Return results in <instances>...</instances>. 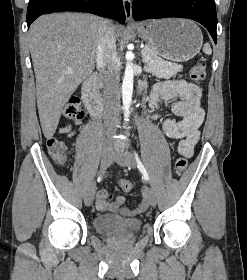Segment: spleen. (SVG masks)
<instances>
[{
    "mask_svg": "<svg viewBox=\"0 0 247 280\" xmlns=\"http://www.w3.org/2000/svg\"><path fill=\"white\" fill-rule=\"evenodd\" d=\"M203 52H204L205 54H207V55H211L212 50H211V47H210L209 44H205V45L203 46Z\"/></svg>",
    "mask_w": 247,
    "mask_h": 280,
    "instance_id": "3e777b00",
    "label": "spleen"
}]
</instances>
